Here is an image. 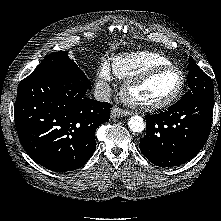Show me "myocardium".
Segmentation results:
<instances>
[{
	"instance_id": "1",
	"label": "myocardium",
	"mask_w": 221,
	"mask_h": 221,
	"mask_svg": "<svg viewBox=\"0 0 221 221\" xmlns=\"http://www.w3.org/2000/svg\"><path fill=\"white\" fill-rule=\"evenodd\" d=\"M165 71H177L181 76L180 84L172 95H170L166 99L156 101V102H148V103L137 102L130 97V91L134 87L143 83L144 81L148 80L154 75L159 74L161 72H165ZM185 85H186V75L181 68L175 65L157 66V67H152L147 70H144L126 79L121 88V96H122L123 101L131 108L141 110V111H154V110L163 109L171 105L172 103H174L183 93Z\"/></svg>"
}]
</instances>
